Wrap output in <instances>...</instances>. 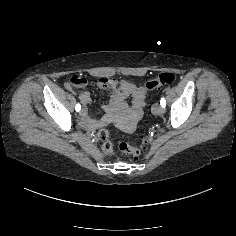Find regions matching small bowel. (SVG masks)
Masks as SVG:
<instances>
[{"label": "small bowel", "mask_w": 236, "mask_h": 236, "mask_svg": "<svg viewBox=\"0 0 236 236\" xmlns=\"http://www.w3.org/2000/svg\"><path fill=\"white\" fill-rule=\"evenodd\" d=\"M99 84L102 86V85H104V83H102L101 81H99ZM67 88H69L70 89V85H67ZM81 99H82V101L84 102V103H88L89 102V96L86 94V93H84V94H82L81 95ZM140 104H139V109L143 106V101L141 100L140 102H139ZM138 109V110H139ZM96 128V127H95ZM95 128H93V129H95Z\"/></svg>", "instance_id": "small-bowel-1"}]
</instances>
